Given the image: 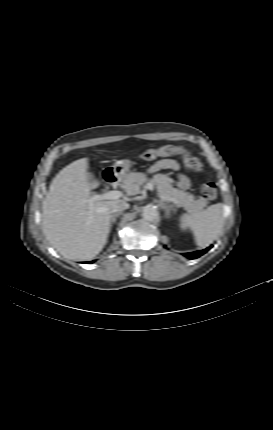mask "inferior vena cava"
I'll use <instances>...</instances> for the list:
<instances>
[{
  "label": "inferior vena cava",
  "instance_id": "602c4592",
  "mask_svg": "<svg viewBox=\"0 0 273 430\" xmlns=\"http://www.w3.org/2000/svg\"><path fill=\"white\" fill-rule=\"evenodd\" d=\"M129 206L130 205L127 202H125L123 200H118V201H115L113 203V205L110 208V211L113 212V213H115V212H122V211L128 209Z\"/></svg>",
  "mask_w": 273,
  "mask_h": 430
}]
</instances>
